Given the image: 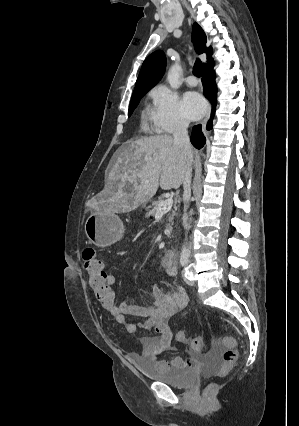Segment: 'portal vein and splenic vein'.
<instances>
[{
  "label": "portal vein and splenic vein",
  "mask_w": 299,
  "mask_h": 426,
  "mask_svg": "<svg viewBox=\"0 0 299 426\" xmlns=\"http://www.w3.org/2000/svg\"><path fill=\"white\" fill-rule=\"evenodd\" d=\"M173 204L172 198H167L164 202L160 203L157 209L156 214H163L171 209Z\"/></svg>",
  "instance_id": "1"
}]
</instances>
